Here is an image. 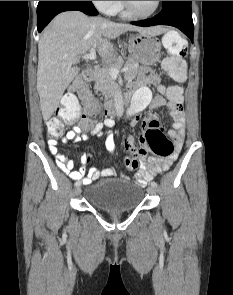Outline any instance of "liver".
I'll list each match as a JSON object with an SVG mask.
<instances>
[{"mask_svg":"<svg viewBox=\"0 0 233 295\" xmlns=\"http://www.w3.org/2000/svg\"><path fill=\"white\" fill-rule=\"evenodd\" d=\"M127 31L159 35L162 27L142 28L88 17L80 11L58 14L38 42L37 91L43 119L58 108L62 95L79 73V56L95 47L103 60H114L117 52L111 40Z\"/></svg>","mask_w":233,"mask_h":295,"instance_id":"obj_1","label":"liver"}]
</instances>
